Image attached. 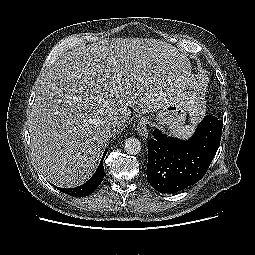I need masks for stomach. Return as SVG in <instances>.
Masks as SVG:
<instances>
[{
    "instance_id": "stomach-1",
    "label": "stomach",
    "mask_w": 255,
    "mask_h": 255,
    "mask_svg": "<svg viewBox=\"0 0 255 255\" xmlns=\"http://www.w3.org/2000/svg\"><path fill=\"white\" fill-rule=\"evenodd\" d=\"M186 120V109L180 100H172L157 114V122L171 130L181 128Z\"/></svg>"
}]
</instances>
